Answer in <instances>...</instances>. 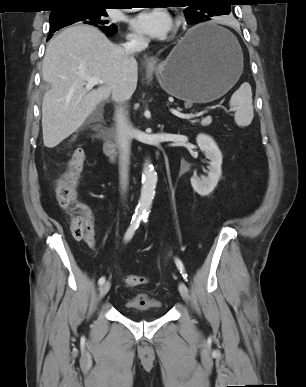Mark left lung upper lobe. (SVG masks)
Returning a JSON list of instances; mask_svg holds the SVG:
<instances>
[{"instance_id": "left-lung-upper-lobe-1", "label": "left lung upper lobe", "mask_w": 306, "mask_h": 387, "mask_svg": "<svg viewBox=\"0 0 306 387\" xmlns=\"http://www.w3.org/2000/svg\"><path fill=\"white\" fill-rule=\"evenodd\" d=\"M229 0H182L185 16L193 23L209 21L214 16L228 15L231 11Z\"/></svg>"}]
</instances>
